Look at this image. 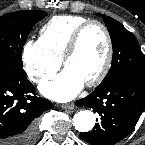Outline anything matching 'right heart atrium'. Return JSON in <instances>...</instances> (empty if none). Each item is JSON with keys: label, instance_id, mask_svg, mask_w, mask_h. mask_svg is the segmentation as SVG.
<instances>
[{"label": "right heart atrium", "instance_id": "obj_1", "mask_svg": "<svg viewBox=\"0 0 145 145\" xmlns=\"http://www.w3.org/2000/svg\"><path fill=\"white\" fill-rule=\"evenodd\" d=\"M22 60L29 79L43 83L51 79L61 65V59L50 55L39 41H27L23 46Z\"/></svg>", "mask_w": 145, "mask_h": 145}]
</instances>
